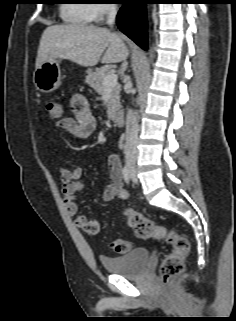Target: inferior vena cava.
Masks as SVG:
<instances>
[{
	"instance_id": "obj_1",
	"label": "inferior vena cava",
	"mask_w": 236,
	"mask_h": 321,
	"mask_svg": "<svg viewBox=\"0 0 236 321\" xmlns=\"http://www.w3.org/2000/svg\"><path fill=\"white\" fill-rule=\"evenodd\" d=\"M107 24L112 26L117 14L116 6L110 4L106 8ZM126 142L124 153L126 158H136L137 156V142H138V124L135 113L128 109L126 115Z\"/></svg>"
}]
</instances>
